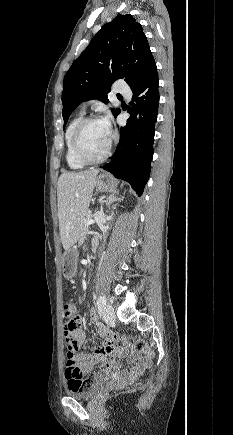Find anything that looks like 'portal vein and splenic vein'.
<instances>
[{
    "instance_id": "1",
    "label": "portal vein and splenic vein",
    "mask_w": 233,
    "mask_h": 435,
    "mask_svg": "<svg viewBox=\"0 0 233 435\" xmlns=\"http://www.w3.org/2000/svg\"><path fill=\"white\" fill-rule=\"evenodd\" d=\"M93 223H95V220H93V219H88V220L86 221L85 225H86V226H89V225H91V224H93Z\"/></svg>"
}]
</instances>
